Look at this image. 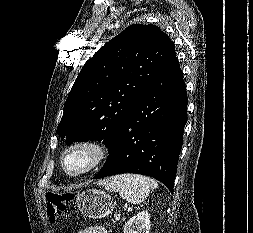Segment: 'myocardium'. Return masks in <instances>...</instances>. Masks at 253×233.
Here are the masks:
<instances>
[{
  "instance_id": "1",
  "label": "myocardium",
  "mask_w": 253,
  "mask_h": 233,
  "mask_svg": "<svg viewBox=\"0 0 253 233\" xmlns=\"http://www.w3.org/2000/svg\"><path fill=\"white\" fill-rule=\"evenodd\" d=\"M78 151L85 152L88 155V162L80 169L71 170L67 166V159L72 153ZM111 152L109 144L100 139L76 141L62 151L60 155V166L66 176L71 178L80 177L92 172L105 163L110 158Z\"/></svg>"
}]
</instances>
